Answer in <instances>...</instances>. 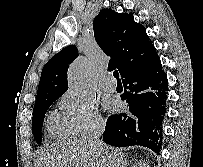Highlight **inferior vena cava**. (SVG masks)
<instances>
[{
    "label": "inferior vena cava",
    "instance_id": "1",
    "mask_svg": "<svg viewBox=\"0 0 203 167\" xmlns=\"http://www.w3.org/2000/svg\"><path fill=\"white\" fill-rule=\"evenodd\" d=\"M105 130V121H96L90 131L84 136V139L96 150L102 151V142L100 136Z\"/></svg>",
    "mask_w": 203,
    "mask_h": 167
}]
</instances>
